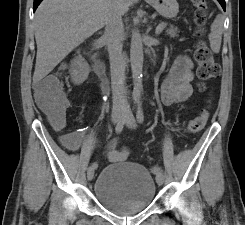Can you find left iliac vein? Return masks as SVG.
I'll use <instances>...</instances> for the list:
<instances>
[{"mask_svg": "<svg viewBox=\"0 0 245 225\" xmlns=\"http://www.w3.org/2000/svg\"><path fill=\"white\" fill-rule=\"evenodd\" d=\"M123 123L128 127V128H135L136 127V121L135 118L129 109V107L126 108L125 113L123 115ZM156 181L158 185H162L164 182V175L161 174L156 177Z\"/></svg>", "mask_w": 245, "mask_h": 225, "instance_id": "1", "label": "left iliac vein"}]
</instances>
